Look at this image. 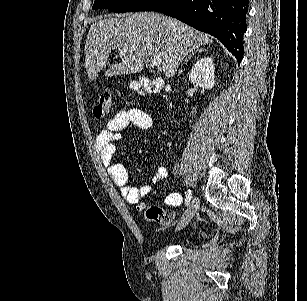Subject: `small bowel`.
<instances>
[{"label":"small bowel","mask_w":307,"mask_h":301,"mask_svg":"<svg viewBox=\"0 0 307 301\" xmlns=\"http://www.w3.org/2000/svg\"><path fill=\"white\" fill-rule=\"evenodd\" d=\"M152 125L150 116L140 108L132 107L116 113L107 123L105 128L96 137L95 145L100 153L103 164L113 182L118 186L123 198L130 204H137L142 211L146 204L142 201L151 192V185L143 184L139 187L128 184V173L125 167L115 161V143L121 139L123 131L132 127L146 130ZM167 177V170L159 166L152 178L153 183H159ZM165 202L168 206L177 207L182 203V196L178 192L169 194Z\"/></svg>","instance_id":"small-bowel-1"}]
</instances>
